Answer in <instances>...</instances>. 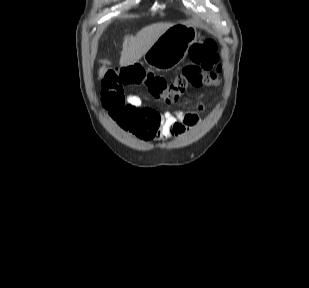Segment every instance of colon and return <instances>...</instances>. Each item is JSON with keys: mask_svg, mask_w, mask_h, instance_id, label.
<instances>
[{"mask_svg": "<svg viewBox=\"0 0 309 288\" xmlns=\"http://www.w3.org/2000/svg\"><path fill=\"white\" fill-rule=\"evenodd\" d=\"M189 59L171 83L137 63L109 71L102 80V106L111 117L118 119L130 112L125 99L128 86H147L153 97L174 103L189 87L201 89L218 85L221 65L214 40L206 38L194 43L189 49Z\"/></svg>", "mask_w": 309, "mask_h": 288, "instance_id": "5ec220e1", "label": "colon"}]
</instances>
